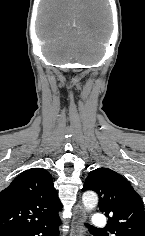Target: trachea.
Wrapping results in <instances>:
<instances>
[{"label":"trachea","instance_id":"1","mask_svg":"<svg viewBox=\"0 0 145 236\" xmlns=\"http://www.w3.org/2000/svg\"><path fill=\"white\" fill-rule=\"evenodd\" d=\"M86 227L90 228V229H97L94 226H91L90 224H86Z\"/></svg>","mask_w":145,"mask_h":236}]
</instances>
